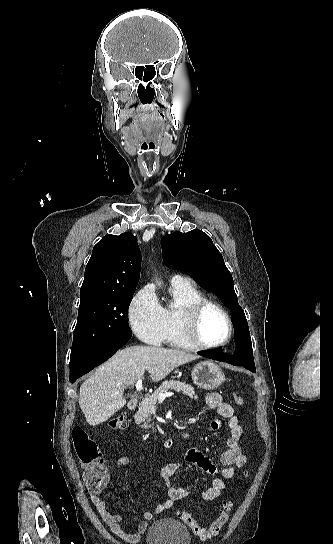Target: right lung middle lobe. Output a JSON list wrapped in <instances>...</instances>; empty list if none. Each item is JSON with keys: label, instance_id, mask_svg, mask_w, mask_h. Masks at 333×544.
<instances>
[{"label": "right lung middle lobe", "instance_id": "1", "mask_svg": "<svg viewBox=\"0 0 333 544\" xmlns=\"http://www.w3.org/2000/svg\"><path fill=\"white\" fill-rule=\"evenodd\" d=\"M134 292L106 293L80 304L70 366L81 361L101 343L119 334H132L128 324V308Z\"/></svg>", "mask_w": 333, "mask_h": 544}]
</instances>
